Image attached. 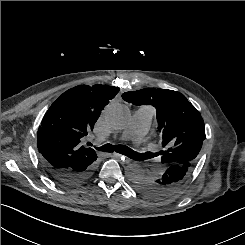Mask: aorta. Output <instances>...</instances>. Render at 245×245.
Segmentation results:
<instances>
[{"label":"aorta","instance_id":"1","mask_svg":"<svg viewBox=\"0 0 245 245\" xmlns=\"http://www.w3.org/2000/svg\"><path fill=\"white\" fill-rule=\"evenodd\" d=\"M106 123L114 129H123L130 120V111L120 103L109 104L104 110ZM126 177L134 182L145 175V170L138 164H129L125 169Z\"/></svg>","mask_w":245,"mask_h":245}]
</instances>
